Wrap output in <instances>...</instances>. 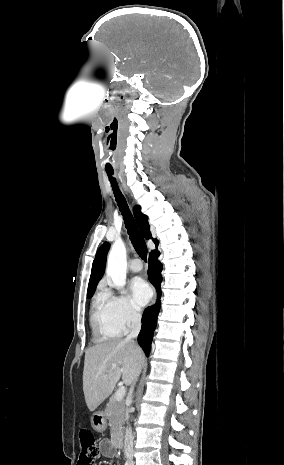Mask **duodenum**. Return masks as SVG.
<instances>
[{"label":"duodenum","instance_id":"duodenum-1","mask_svg":"<svg viewBox=\"0 0 284 465\" xmlns=\"http://www.w3.org/2000/svg\"><path fill=\"white\" fill-rule=\"evenodd\" d=\"M113 444L115 447H121L123 444V434L120 431H116L115 435L113 436Z\"/></svg>","mask_w":284,"mask_h":465}]
</instances>
